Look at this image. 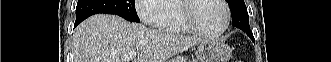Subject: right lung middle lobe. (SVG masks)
Instances as JSON below:
<instances>
[{"label":"right lung middle lobe","instance_id":"1","mask_svg":"<svg viewBox=\"0 0 331 62\" xmlns=\"http://www.w3.org/2000/svg\"><path fill=\"white\" fill-rule=\"evenodd\" d=\"M97 13L115 14L131 22H140L135 10V0H79L76 22Z\"/></svg>","mask_w":331,"mask_h":62}]
</instances>
